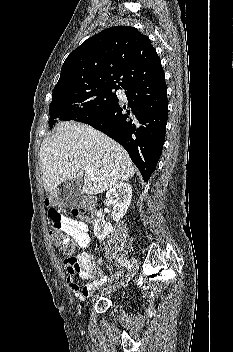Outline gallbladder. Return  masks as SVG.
Here are the masks:
<instances>
[{"label": "gallbladder", "instance_id": "obj_1", "mask_svg": "<svg viewBox=\"0 0 233 352\" xmlns=\"http://www.w3.org/2000/svg\"><path fill=\"white\" fill-rule=\"evenodd\" d=\"M82 196L83 190L81 179H71L64 184L63 200L67 207L73 208L78 206Z\"/></svg>", "mask_w": 233, "mask_h": 352}]
</instances>
